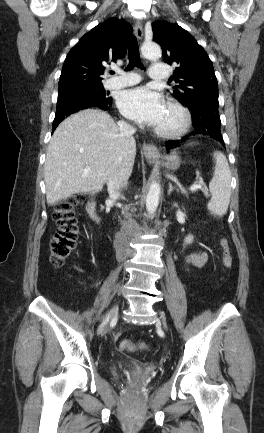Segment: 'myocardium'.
Instances as JSON below:
<instances>
[{
	"instance_id": "myocardium-1",
	"label": "myocardium",
	"mask_w": 264,
	"mask_h": 433,
	"mask_svg": "<svg viewBox=\"0 0 264 433\" xmlns=\"http://www.w3.org/2000/svg\"><path fill=\"white\" fill-rule=\"evenodd\" d=\"M167 109L175 112L178 117V123L171 128L155 127L154 132L162 138H177L187 132L191 125V114L189 110L182 104L176 101H170L167 104Z\"/></svg>"
}]
</instances>
